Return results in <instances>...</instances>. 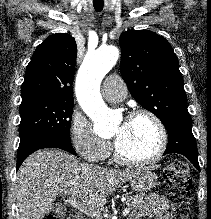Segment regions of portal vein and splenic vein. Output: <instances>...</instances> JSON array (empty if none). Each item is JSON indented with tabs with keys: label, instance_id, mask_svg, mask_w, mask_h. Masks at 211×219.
<instances>
[{
	"label": "portal vein and splenic vein",
	"instance_id": "portal-vein-and-splenic-vein-1",
	"mask_svg": "<svg viewBox=\"0 0 211 219\" xmlns=\"http://www.w3.org/2000/svg\"><path fill=\"white\" fill-rule=\"evenodd\" d=\"M68 202L76 209H78L79 211L85 213V214H88V215H91V216H96L97 219H100L98 217V214L97 212L92 209V208H88L87 206H85L84 204L80 203L79 201L76 200V197L75 196H71L68 198ZM130 212V209L129 208H125L122 212V215L123 216H127Z\"/></svg>",
	"mask_w": 211,
	"mask_h": 219
}]
</instances>
